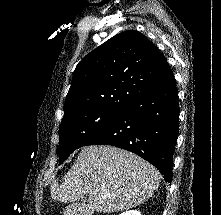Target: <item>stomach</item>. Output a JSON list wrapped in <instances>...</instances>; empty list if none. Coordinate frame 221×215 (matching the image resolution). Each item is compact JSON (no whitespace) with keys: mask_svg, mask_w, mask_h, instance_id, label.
Returning <instances> with one entry per match:
<instances>
[{"mask_svg":"<svg viewBox=\"0 0 221 215\" xmlns=\"http://www.w3.org/2000/svg\"><path fill=\"white\" fill-rule=\"evenodd\" d=\"M65 215H73V207L72 206H67L65 211H64Z\"/></svg>","mask_w":221,"mask_h":215,"instance_id":"obj_1","label":"stomach"}]
</instances>
